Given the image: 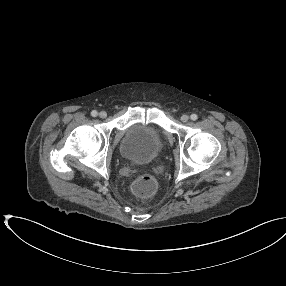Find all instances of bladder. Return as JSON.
Listing matches in <instances>:
<instances>
[{"instance_id":"obj_1","label":"bladder","mask_w":286,"mask_h":286,"mask_svg":"<svg viewBox=\"0 0 286 286\" xmlns=\"http://www.w3.org/2000/svg\"><path fill=\"white\" fill-rule=\"evenodd\" d=\"M162 150V134L153 125L131 126L119 145L121 155L137 165L148 164L156 160Z\"/></svg>"}]
</instances>
